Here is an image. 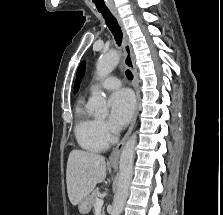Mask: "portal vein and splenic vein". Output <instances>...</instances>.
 <instances>
[{
	"instance_id": "18ae733b",
	"label": "portal vein and splenic vein",
	"mask_w": 223,
	"mask_h": 215,
	"mask_svg": "<svg viewBox=\"0 0 223 215\" xmlns=\"http://www.w3.org/2000/svg\"><path fill=\"white\" fill-rule=\"evenodd\" d=\"M103 203V199H100V197H96V203L94 205L95 209H98V207H102Z\"/></svg>"
}]
</instances>
